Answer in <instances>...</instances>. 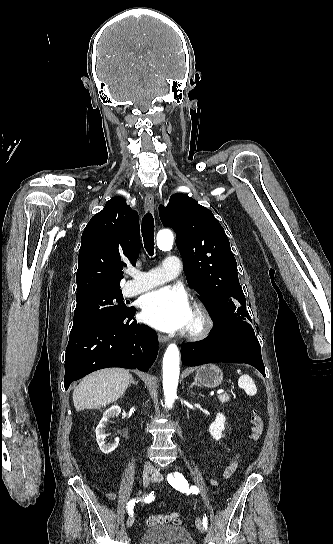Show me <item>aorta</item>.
<instances>
[{"label": "aorta", "mask_w": 333, "mask_h": 544, "mask_svg": "<svg viewBox=\"0 0 333 544\" xmlns=\"http://www.w3.org/2000/svg\"><path fill=\"white\" fill-rule=\"evenodd\" d=\"M173 234L170 230H161L157 234V245L160 249H168L173 245ZM180 354L176 344H170L163 357V390L165 405L172 407L176 398L179 379Z\"/></svg>", "instance_id": "762f6f07"}]
</instances>
